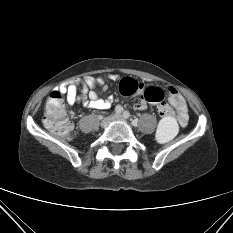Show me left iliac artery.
<instances>
[{"mask_svg": "<svg viewBox=\"0 0 233 233\" xmlns=\"http://www.w3.org/2000/svg\"><path fill=\"white\" fill-rule=\"evenodd\" d=\"M123 117H124L125 119H128V118L130 117V113H129L128 111H124V112H123Z\"/></svg>", "mask_w": 233, "mask_h": 233, "instance_id": "obj_1", "label": "left iliac artery"}]
</instances>
